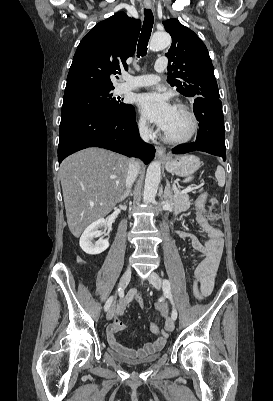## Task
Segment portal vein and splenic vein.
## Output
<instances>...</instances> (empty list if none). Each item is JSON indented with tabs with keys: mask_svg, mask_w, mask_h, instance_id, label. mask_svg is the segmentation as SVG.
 Returning <instances> with one entry per match:
<instances>
[{
	"mask_svg": "<svg viewBox=\"0 0 273 401\" xmlns=\"http://www.w3.org/2000/svg\"><path fill=\"white\" fill-rule=\"evenodd\" d=\"M189 190H192L191 186H187V188H184V190H179V193L189 192Z\"/></svg>",
	"mask_w": 273,
	"mask_h": 401,
	"instance_id": "1",
	"label": "portal vein and splenic vein"
}]
</instances>
